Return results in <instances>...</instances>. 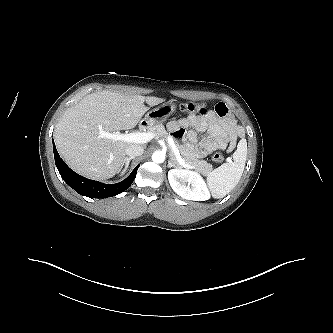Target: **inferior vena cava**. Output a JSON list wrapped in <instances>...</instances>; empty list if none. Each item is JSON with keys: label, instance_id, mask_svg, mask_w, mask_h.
<instances>
[{"label": "inferior vena cava", "instance_id": "inferior-vena-cava-1", "mask_svg": "<svg viewBox=\"0 0 333 333\" xmlns=\"http://www.w3.org/2000/svg\"><path fill=\"white\" fill-rule=\"evenodd\" d=\"M143 151V147L138 144H131L125 150L126 155H128L129 157L140 156L143 154Z\"/></svg>", "mask_w": 333, "mask_h": 333}]
</instances>
